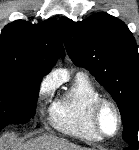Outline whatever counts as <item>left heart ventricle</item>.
Wrapping results in <instances>:
<instances>
[{
    "label": "left heart ventricle",
    "mask_w": 139,
    "mask_h": 150,
    "mask_svg": "<svg viewBox=\"0 0 139 150\" xmlns=\"http://www.w3.org/2000/svg\"><path fill=\"white\" fill-rule=\"evenodd\" d=\"M99 122L101 129L105 134L113 135L116 132L117 119L110 106L103 107L100 113Z\"/></svg>",
    "instance_id": "left-heart-ventricle-1"
}]
</instances>
